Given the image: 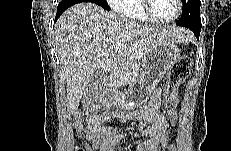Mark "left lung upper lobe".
I'll list each match as a JSON object with an SVG mask.
<instances>
[{
  "label": "left lung upper lobe",
  "instance_id": "1",
  "mask_svg": "<svg viewBox=\"0 0 231 151\" xmlns=\"http://www.w3.org/2000/svg\"><path fill=\"white\" fill-rule=\"evenodd\" d=\"M182 2V15L177 25L187 28L201 27L200 0H182Z\"/></svg>",
  "mask_w": 231,
  "mask_h": 151
}]
</instances>
